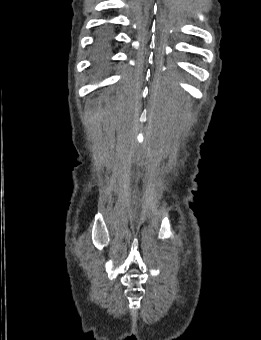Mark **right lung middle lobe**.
Wrapping results in <instances>:
<instances>
[{"instance_id": "1", "label": "right lung middle lobe", "mask_w": 261, "mask_h": 340, "mask_svg": "<svg viewBox=\"0 0 261 340\" xmlns=\"http://www.w3.org/2000/svg\"><path fill=\"white\" fill-rule=\"evenodd\" d=\"M110 34H111L110 28L109 27H103L99 32L98 39L101 40V41L105 40L110 36Z\"/></svg>"}]
</instances>
